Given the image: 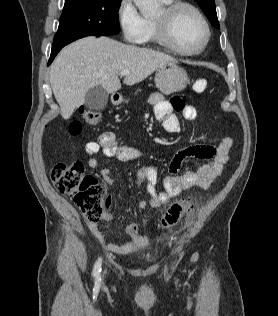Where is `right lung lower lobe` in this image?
Segmentation results:
<instances>
[{"mask_svg": "<svg viewBox=\"0 0 278 316\" xmlns=\"http://www.w3.org/2000/svg\"><path fill=\"white\" fill-rule=\"evenodd\" d=\"M63 47H64V46H63ZM63 47H60V48L52 49V50H51V56H50L48 65L51 64V62L53 61V59L55 58V56L57 55V53H58Z\"/></svg>", "mask_w": 278, "mask_h": 316, "instance_id": "obj_1", "label": "right lung lower lobe"}]
</instances>
